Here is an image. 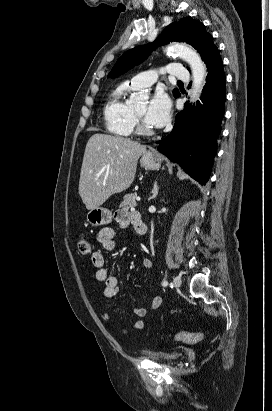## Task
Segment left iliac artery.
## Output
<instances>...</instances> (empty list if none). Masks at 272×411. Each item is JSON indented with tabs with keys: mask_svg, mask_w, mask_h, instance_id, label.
<instances>
[{
	"mask_svg": "<svg viewBox=\"0 0 272 411\" xmlns=\"http://www.w3.org/2000/svg\"><path fill=\"white\" fill-rule=\"evenodd\" d=\"M163 286H167L168 285V282L165 280V281H163Z\"/></svg>",
	"mask_w": 272,
	"mask_h": 411,
	"instance_id": "left-iliac-artery-1",
	"label": "left iliac artery"
}]
</instances>
